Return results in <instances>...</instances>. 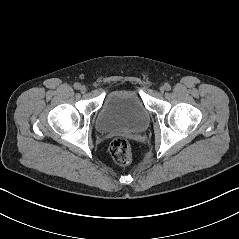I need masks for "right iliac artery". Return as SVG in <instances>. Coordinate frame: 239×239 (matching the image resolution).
Instances as JSON below:
<instances>
[{
  "label": "right iliac artery",
  "mask_w": 239,
  "mask_h": 239,
  "mask_svg": "<svg viewBox=\"0 0 239 239\" xmlns=\"http://www.w3.org/2000/svg\"><path fill=\"white\" fill-rule=\"evenodd\" d=\"M80 87H81V85H80L79 83H75V84H74V88H75V89H80Z\"/></svg>",
  "instance_id": "82829eb1"
}]
</instances>
